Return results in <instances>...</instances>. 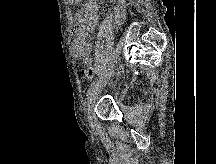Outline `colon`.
<instances>
[{"mask_svg": "<svg viewBox=\"0 0 216 164\" xmlns=\"http://www.w3.org/2000/svg\"><path fill=\"white\" fill-rule=\"evenodd\" d=\"M81 75L83 78H85L87 80H93V78L95 76V70H94L93 66H86L81 71Z\"/></svg>", "mask_w": 216, "mask_h": 164, "instance_id": "obj_1", "label": "colon"}]
</instances>
